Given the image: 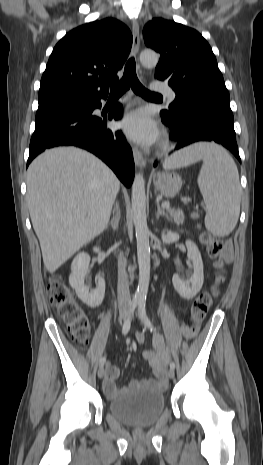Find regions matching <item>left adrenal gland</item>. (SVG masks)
<instances>
[{
	"mask_svg": "<svg viewBox=\"0 0 263 465\" xmlns=\"http://www.w3.org/2000/svg\"><path fill=\"white\" fill-rule=\"evenodd\" d=\"M156 205H157V214L156 218L159 219L160 216H164L167 220H169V216L163 209L160 207V203L158 200H156Z\"/></svg>",
	"mask_w": 263,
	"mask_h": 465,
	"instance_id": "left-adrenal-gland-1",
	"label": "left adrenal gland"
}]
</instances>
